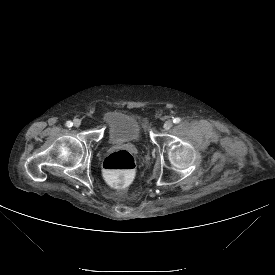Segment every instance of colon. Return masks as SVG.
Returning <instances> with one entry per match:
<instances>
[{
	"mask_svg": "<svg viewBox=\"0 0 275 275\" xmlns=\"http://www.w3.org/2000/svg\"><path fill=\"white\" fill-rule=\"evenodd\" d=\"M106 179L115 186L126 187L135 178L136 164L133 155L126 150L109 154L103 162Z\"/></svg>",
	"mask_w": 275,
	"mask_h": 275,
	"instance_id": "colon-1",
	"label": "colon"
}]
</instances>
